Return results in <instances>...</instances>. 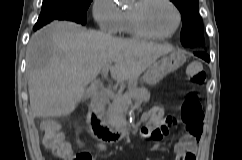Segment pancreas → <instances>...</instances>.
<instances>
[{"label": "pancreas", "instance_id": "pancreas-1", "mask_svg": "<svg viewBox=\"0 0 242 160\" xmlns=\"http://www.w3.org/2000/svg\"><path fill=\"white\" fill-rule=\"evenodd\" d=\"M150 99V92L144 88H131L123 95H116L109 103L104 120L112 128L120 129L127 125L125 111L129 107L130 101L134 100L136 105H141Z\"/></svg>", "mask_w": 242, "mask_h": 160}]
</instances>
